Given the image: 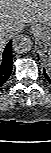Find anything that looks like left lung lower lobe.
<instances>
[{
    "label": "left lung lower lobe",
    "instance_id": "left-lung-lower-lobe-1",
    "mask_svg": "<svg viewBox=\"0 0 51 153\" xmlns=\"http://www.w3.org/2000/svg\"><path fill=\"white\" fill-rule=\"evenodd\" d=\"M43 74L46 77V79L51 83V79L48 77V75L46 74L45 70H43Z\"/></svg>",
    "mask_w": 51,
    "mask_h": 153
}]
</instances>
